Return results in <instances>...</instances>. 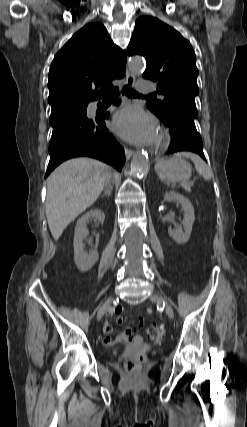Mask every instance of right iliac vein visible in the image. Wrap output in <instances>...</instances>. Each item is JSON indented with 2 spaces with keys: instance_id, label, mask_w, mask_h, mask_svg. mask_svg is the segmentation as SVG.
Instances as JSON below:
<instances>
[{
  "instance_id": "1",
  "label": "right iliac vein",
  "mask_w": 247,
  "mask_h": 427,
  "mask_svg": "<svg viewBox=\"0 0 247 427\" xmlns=\"http://www.w3.org/2000/svg\"><path fill=\"white\" fill-rule=\"evenodd\" d=\"M112 301H113V297H109V298H108V299L103 303V305L101 306V308L99 309L98 314H97V320H98V321L103 317L104 313H105V312L107 311V309L111 306Z\"/></svg>"
}]
</instances>
